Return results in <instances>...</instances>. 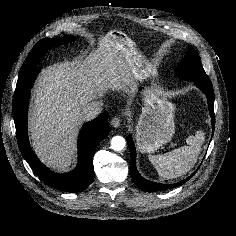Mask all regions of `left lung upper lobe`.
I'll return each instance as SVG.
<instances>
[{"mask_svg": "<svg viewBox=\"0 0 236 236\" xmlns=\"http://www.w3.org/2000/svg\"><path fill=\"white\" fill-rule=\"evenodd\" d=\"M176 74L190 81L209 79L202 67L200 56L192 47L188 48L187 55L178 65Z\"/></svg>", "mask_w": 236, "mask_h": 236, "instance_id": "left-lung-upper-lobe-1", "label": "left lung upper lobe"}]
</instances>
